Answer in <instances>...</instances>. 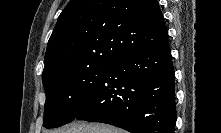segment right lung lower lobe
I'll use <instances>...</instances> for the list:
<instances>
[{
    "label": "right lung lower lobe",
    "mask_w": 221,
    "mask_h": 133,
    "mask_svg": "<svg viewBox=\"0 0 221 133\" xmlns=\"http://www.w3.org/2000/svg\"><path fill=\"white\" fill-rule=\"evenodd\" d=\"M174 68L168 39L121 56L74 119L131 133H174Z\"/></svg>",
    "instance_id": "obj_1"
}]
</instances>
